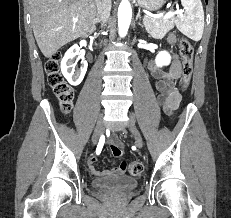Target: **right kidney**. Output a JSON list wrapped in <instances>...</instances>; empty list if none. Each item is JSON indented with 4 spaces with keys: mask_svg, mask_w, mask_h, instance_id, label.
<instances>
[{
    "mask_svg": "<svg viewBox=\"0 0 231 218\" xmlns=\"http://www.w3.org/2000/svg\"><path fill=\"white\" fill-rule=\"evenodd\" d=\"M81 59V66L75 70V66L78 60ZM88 63L84 56L80 53L78 45H73L65 53L61 61V71L64 77L71 85H79L87 71Z\"/></svg>",
    "mask_w": 231,
    "mask_h": 218,
    "instance_id": "obj_1",
    "label": "right kidney"
}]
</instances>
